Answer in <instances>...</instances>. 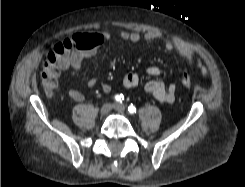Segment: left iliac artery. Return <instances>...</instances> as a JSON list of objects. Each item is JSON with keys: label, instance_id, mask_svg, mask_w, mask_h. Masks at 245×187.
<instances>
[{"label": "left iliac artery", "instance_id": "1", "mask_svg": "<svg viewBox=\"0 0 245 187\" xmlns=\"http://www.w3.org/2000/svg\"><path fill=\"white\" fill-rule=\"evenodd\" d=\"M128 111L131 113V114H134L136 113V107L131 104L129 107H128Z\"/></svg>", "mask_w": 245, "mask_h": 187}]
</instances>
